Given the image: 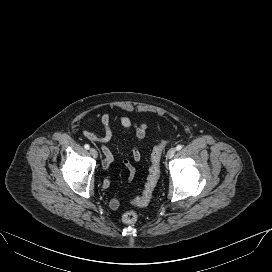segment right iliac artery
<instances>
[{
  "label": "right iliac artery",
  "mask_w": 272,
  "mask_h": 272,
  "mask_svg": "<svg viewBox=\"0 0 272 272\" xmlns=\"http://www.w3.org/2000/svg\"><path fill=\"white\" fill-rule=\"evenodd\" d=\"M84 148L88 150L90 148V146L88 144H85Z\"/></svg>",
  "instance_id": "82829eb1"
}]
</instances>
